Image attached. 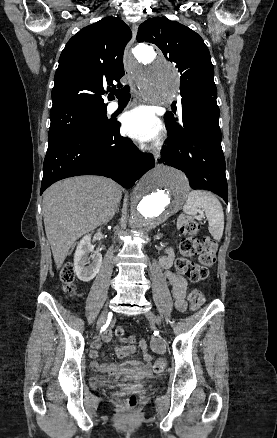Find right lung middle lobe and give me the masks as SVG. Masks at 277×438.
<instances>
[{
    "mask_svg": "<svg viewBox=\"0 0 277 438\" xmlns=\"http://www.w3.org/2000/svg\"><path fill=\"white\" fill-rule=\"evenodd\" d=\"M106 110L107 108H82L50 113L48 145L80 132L104 130L110 123Z\"/></svg>",
    "mask_w": 277,
    "mask_h": 438,
    "instance_id": "1",
    "label": "right lung middle lobe"
}]
</instances>
